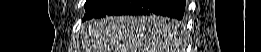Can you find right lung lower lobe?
Returning a JSON list of instances; mask_svg holds the SVG:
<instances>
[{
    "label": "right lung lower lobe",
    "instance_id": "obj_1",
    "mask_svg": "<svg viewBox=\"0 0 261 52\" xmlns=\"http://www.w3.org/2000/svg\"><path fill=\"white\" fill-rule=\"evenodd\" d=\"M185 0H106L103 4L87 12L85 19L106 15H162L182 19Z\"/></svg>",
    "mask_w": 261,
    "mask_h": 52
}]
</instances>
